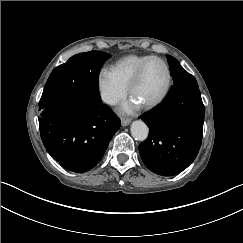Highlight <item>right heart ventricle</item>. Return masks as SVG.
Listing matches in <instances>:
<instances>
[{"label": "right heart ventricle", "instance_id": "1", "mask_svg": "<svg viewBox=\"0 0 243 243\" xmlns=\"http://www.w3.org/2000/svg\"><path fill=\"white\" fill-rule=\"evenodd\" d=\"M152 57H154L152 54H129L116 60L111 67L113 68L119 82L123 86L127 87L140 64Z\"/></svg>", "mask_w": 243, "mask_h": 243}]
</instances>
